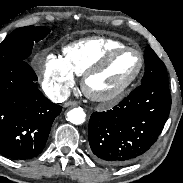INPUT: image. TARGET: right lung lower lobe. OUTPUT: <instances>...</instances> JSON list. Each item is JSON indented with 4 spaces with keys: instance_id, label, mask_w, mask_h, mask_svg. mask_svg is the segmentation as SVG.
<instances>
[{
    "instance_id": "1",
    "label": "right lung lower lobe",
    "mask_w": 183,
    "mask_h": 183,
    "mask_svg": "<svg viewBox=\"0 0 183 183\" xmlns=\"http://www.w3.org/2000/svg\"><path fill=\"white\" fill-rule=\"evenodd\" d=\"M26 61L0 65V154L14 160L36 157L62 107L37 88Z\"/></svg>"
}]
</instances>
